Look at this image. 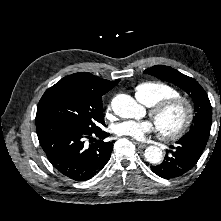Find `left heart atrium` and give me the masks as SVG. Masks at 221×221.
Returning <instances> with one entry per match:
<instances>
[{"mask_svg":"<svg viewBox=\"0 0 221 221\" xmlns=\"http://www.w3.org/2000/svg\"><path fill=\"white\" fill-rule=\"evenodd\" d=\"M154 126L150 121L126 120L116 123L113 132L117 136L130 137L135 140H143L145 135L151 133Z\"/></svg>","mask_w":221,"mask_h":221,"instance_id":"1","label":"left heart atrium"}]
</instances>
